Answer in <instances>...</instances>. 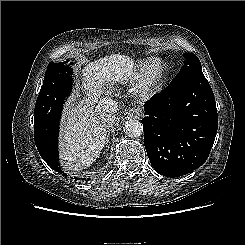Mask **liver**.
<instances>
[{
  "label": "liver",
  "mask_w": 245,
  "mask_h": 245,
  "mask_svg": "<svg viewBox=\"0 0 245 245\" xmlns=\"http://www.w3.org/2000/svg\"><path fill=\"white\" fill-rule=\"evenodd\" d=\"M134 62L129 56L111 54L89 61L79 68L86 99L74 98L64 112L61 135V157L65 168L75 172L90 166L106 142L107 131L94 111L104 86L129 76Z\"/></svg>",
  "instance_id": "1"
}]
</instances>
